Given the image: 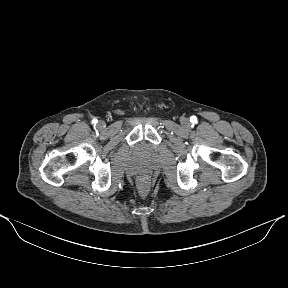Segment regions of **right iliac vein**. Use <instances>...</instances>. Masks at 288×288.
Instances as JSON below:
<instances>
[{
    "label": "right iliac vein",
    "instance_id": "right-iliac-vein-1",
    "mask_svg": "<svg viewBox=\"0 0 288 288\" xmlns=\"http://www.w3.org/2000/svg\"><path fill=\"white\" fill-rule=\"evenodd\" d=\"M105 127V122L104 121H99L98 123H97V128L98 129H103Z\"/></svg>",
    "mask_w": 288,
    "mask_h": 288
}]
</instances>
